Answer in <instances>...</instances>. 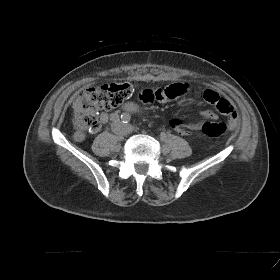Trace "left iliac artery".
I'll return each instance as SVG.
<instances>
[{
	"label": "left iliac artery",
	"instance_id": "left-iliac-artery-1",
	"mask_svg": "<svg viewBox=\"0 0 280 280\" xmlns=\"http://www.w3.org/2000/svg\"><path fill=\"white\" fill-rule=\"evenodd\" d=\"M121 119H122L123 122L127 123V122L130 121L131 116H130L129 113H123V114L121 115Z\"/></svg>",
	"mask_w": 280,
	"mask_h": 280
}]
</instances>
